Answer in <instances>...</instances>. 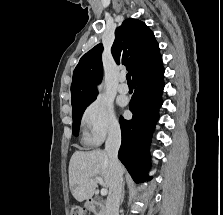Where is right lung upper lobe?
Instances as JSON below:
<instances>
[{
  "mask_svg": "<svg viewBox=\"0 0 223 215\" xmlns=\"http://www.w3.org/2000/svg\"><path fill=\"white\" fill-rule=\"evenodd\" d=\"M103 45L98 44L84 54L74 69L71 85L72 109L96 99V84L102 78ZM117 64H124L133 76V82L149 76L162 65L159 45L153 32L140 20L126 19L115 31L111 48Z\"/></svg>",
  "mask_w": 223,
  "mask_h": 215,
  "instance_id": "right-lung-upper-lobe-1",
  "label": "right lung upper lobe"
}]
</instances>
